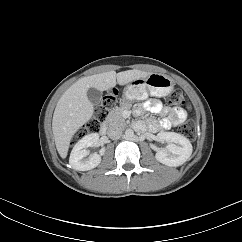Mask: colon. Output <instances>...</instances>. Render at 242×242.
I'll list each match as a JSON object with an SVG mask.
<instances>
[{"label": "colon", "instance_id": "obj_1", "mask_svg": "<svg viewBox=\"0 0 242 242\" xmlns=\"http://www.w3.org/2000/svg\"><path fill=\"white\" fill-rule=\"evenodd\" d=\"M114 104L115 96L112 94L107 95L101 105L95 111L94 116L82 129L77 132L76 138L83 137L88 133L97 132L110 110L114 107ZM168 104L179 109H185L188 107L187 100L183 92L180 90H175L169 95ZM180 132L188 139L193 140L195 138L194 126L190 121L185 122L180 126Z\"/></svg>", "mask_w": 242, "mask_h": 242}]
</instances>
